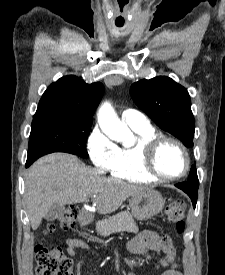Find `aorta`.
I'll list each match as a JSON object with an SVG mask.
<instances>
[{"label":"aorta","instance_id":"obj_1","mask_svg":"<svg viewBox=\"0 0 225 275\" xmlns=\"http://www.w3.org/2000/svg\"><path fill=\"white\" fill-rule=\"evenodd\" d=\"M97 119L102 132L110 139L122 143L125 147L134 144V136L128 126L117 116L109 102H104L99 108Z\"/></svg>","mask_w":225,"mask_h":275}]
</instances>
